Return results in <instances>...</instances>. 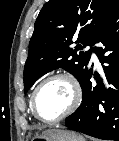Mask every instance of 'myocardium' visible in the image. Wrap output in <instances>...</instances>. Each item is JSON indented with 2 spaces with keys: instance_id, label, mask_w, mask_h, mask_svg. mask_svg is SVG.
Segmentation results:
<instances>
[{
  "instance_id": "obj_1",
  "label": "myocardium",
  "mask_w": 119,
  "mask_h": 141,
  "mask_svg": "<svg viewBox=\"0 0 119 141\" xmlns=\"http://www.w3.org/2000/svg\"><path fill=\"white\" fill-rule=\"evenodd\" d=\"M57 79L65 80L69 84L70 89H71V93H72L71 102H70L68 108L63 113H61L59 116H57L53 119H43L39 116L37 109H36L37 95H38L40 89L45 84H47L50 81L57 80ZM81 99H82V91H81V87H80V84L77 81V79L70 73L59 72V73H55V74H52V75L46 77L35 87V89L32 93V96H31V110H32L33 115L39 121H41L43 123H55V122H58V121L65 119L66 117H68L72 113H74L76 111V109L79 107V105L81 103Z\"/></svg>"
}]
</instances>
